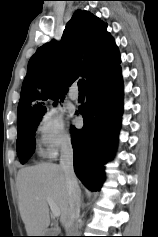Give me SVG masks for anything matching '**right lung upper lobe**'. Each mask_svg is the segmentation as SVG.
Returning <instances> with one entry per match:
<instances>
[{"instance_id": "obj_1", "label": "right lung upper lobe", "mask_w": 158, "mask_h": 237, "mask_svg": "<svg viewBox=\"0 0 158 237\" xmlns=\"http://www.w3.org/2000/svg\"><path fill=\"white\" fill-rule=\"evenodd\" d=\"M106 28L92 13L77 10L60 42L51 40L37 49L23 81L18 118L42 112L45 107L38 100L63 98L79 76L88 85L119 65L118 48Z\"/></svg>"}]
</instances>
